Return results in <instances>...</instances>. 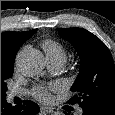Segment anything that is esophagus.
<instances>
[{"mask_svg": "<svg viewBox=\"0 0 115 115\" xmlns=\"http://www.w3.org/2000/svg\"><path fill=\"white\" fill-rule=\"evenodd\" d=\"M40 110H41L42 112H44V113H53V109H51V108H49V107H44V106H42V107L40 108Z\"/></svg>", "mask_w": 115, "mask_h": 115, "instance_id": "obj_1", "label": "esophagus"}]
</instances>
